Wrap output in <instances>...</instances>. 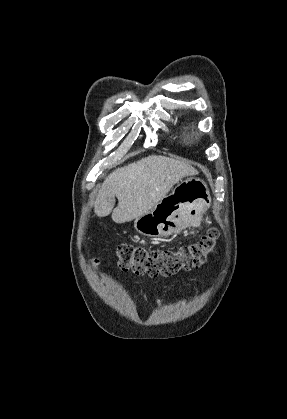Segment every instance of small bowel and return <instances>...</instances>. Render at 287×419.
Returning <instances> with one entry per match:
<instances>
[{
  "mask_svg": "<svg viewBox=\"0 0 287 419\" xmlns=\"http://www.w3.org/2000/svg\"><path fill=\"white\" fill-rule=\"evenodd\" d=\"M93 263H94V265H97V264H98V260H96V259H95V260L93 261Z\"/></svg>",
  "mask_w": 287,
  "mask_h": 419,
  "instance_id": "c3829d8e",
  "label": "small bowel"
}]
</instances>
